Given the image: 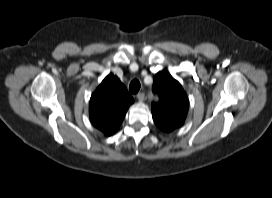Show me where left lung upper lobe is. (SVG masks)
I'll use <instances>...</instances> for the list:
<instances>
[{
  "label": "left lung upper lobe",
  "mask_w": 272,
  "mask_h": 198,
  "mask_svg": "<svg viewBox=\"0 0 272 198\" xmlns=\"http://www.w3.org/2000/svg\"><path fill=\"white\" fill-rule=\"evenodd\" d=\"M153 91L159 94V102L152 104L155 124L164 132L181 126L186 118L189 100L182 86L169 73L158 72L154 77Z\"/></svg>",
  "instance_id": "5c2ea615"
}]
</instances>
